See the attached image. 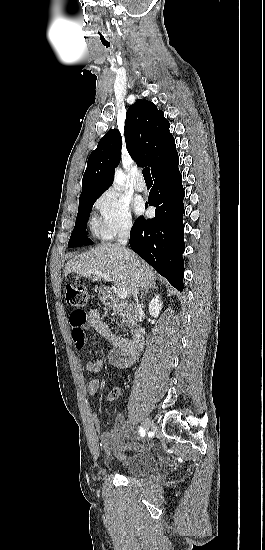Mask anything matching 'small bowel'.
<instances>
[{
	"label": "small bowel",
	"instance_id": "small-bowel-1",
	"mask_svg": "<svg viewBox=\"0 0 265 550\" xmlns=\"http://www.w3.org/2000/svg\"><path fill=\"white\" fill-rule=\"evenodd\" d=\"M90 329L100 335L107 343L115 350L110 356V361L113 365L120 369L131 368L138 359V351L133 350L129 339L115 335L109 326L100 318L96 310H91L86 315V323L83 327L82 335L76 339V344L81 347L84 344V330ZM104 366L102 358L94 361H87L85 368L90 373H99ZM100 387V382L96 379L92 380L88 385V393L94 397ZM128 428V423L122 413L115 415V428L110 432H99V438L102 446L109 449L114 441H117L125 436Z\"/></svg>",
	"mask_w": 265,
	"mask_h": 550
}]
</instances>
